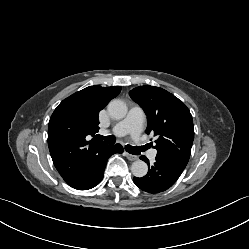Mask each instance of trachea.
Segmentation results:
<instances>
[{"mask_svg":"<svg viewBox=\"0 0 249 249\" xmlns=\"http://www.w3.org/2000/svg\"><path fill=\"white\" fill-rule=\"evenodd\" d=\"M98 139H102L105 141V143L109 144V145H113L115 143V137L112 135L109 136H101V135H97ZM147 149V146H131V145H126L125 146V150L133 155H139L141 152L145 151Z\"/></svg>","mask_w":249,"mask_h":249,"instance_id":"3493384b","label":"trachea"}]
</instances>
